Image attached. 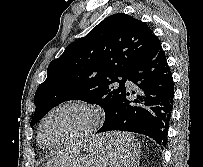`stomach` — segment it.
<instances>
[{
	"mask_svg": "<svg viewBox=\"0 0 203 167\" xmlns=\"http://www.w3.org/2000/svg\"><path fill=\"white\" fill-rule=\"evenodd\" d=\"M100 138L95 139L99 141ZM107 143V142H106ZM133 141L130 143L132 145ZM131 155L133 152L130 150ZM111 160L104 151V147L93 148L90 153L74 160L68 167H108Z\"/></svg>",
	"mask_w": 203,
	"mask_h": 167,
	"instance_id": "obj_1",
	"label": "stomach"
}]
</instances>
